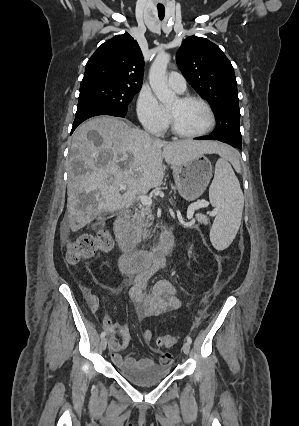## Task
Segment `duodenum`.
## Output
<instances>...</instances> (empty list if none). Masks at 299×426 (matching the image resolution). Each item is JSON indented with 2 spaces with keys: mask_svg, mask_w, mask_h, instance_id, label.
<instances>
[{
  "mask_svg": "<svg viewBox=\"0 0 299 426\" xmlns=\"http://www.w3.org/2000/svg\"><path fill=\"white\" fill-rule=\"evenodd\" d=\"M114 230L121 250L120 269L128 275H134L153 261L165 258L174 245L172 233L166 231L162 233L159 243L153 249H137L126 215H120L116 218Z\"/></svg>",
  "mask_w": 299,
  "mask_h": 426,
  "instance_id": "duodenum-1",
  "label": "duodenum"
}]
</instances>
